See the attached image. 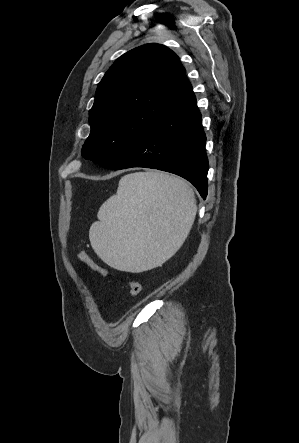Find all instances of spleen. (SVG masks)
<instances>
[{
  "label": "spleen",
  "instance_id": "1",
  "mask_svg": "<svg viewBox=\"0 0 299 443\" xmlns=\"http://www.w3.org/2000/svg\"><path fill=\"white\" fill-rule=\"evenodd\" d=\"M196 200L184 180L157 171L125 175L102 204L89 232L96 254L110 267L143 272L162 265L187 238Z\"/></svg>",
  "mask_w": 299,
  "mask_h": 443
}]
</instances>
